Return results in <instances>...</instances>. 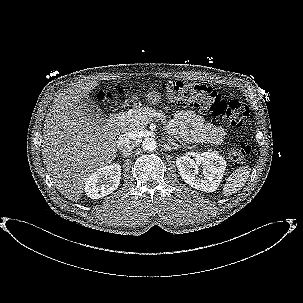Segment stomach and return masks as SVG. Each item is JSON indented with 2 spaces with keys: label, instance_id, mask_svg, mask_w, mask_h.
<instances>
[{
  "label": "stomach",
  "instance_id": "0dacf381",
  "mask_svg": "<svg viewBox=\"0 0 303 303\" xmlns=\"http://www.w3.org/2000/svg\"><path fill=\"white\" fill-rule=\"evenodd\" d=\"M146 102L149 105H158L161 102V94L156 90L149 91L146 95Z\"/></svg>",
  "mask_w": 303,
  "mask_h": 303
}]
</instances>
